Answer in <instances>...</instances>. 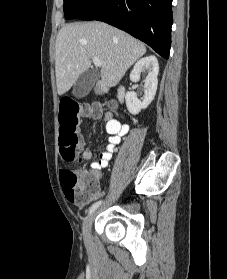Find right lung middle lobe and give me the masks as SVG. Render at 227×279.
<instances>
[{
	"mask_svg": "<svg viewBox=\"0 0 227 279\" xmlns=\"http://www.w3.org/2000/svg\"><path fill=\"white\" fill-rule=\"evenodd\" d=\"M94 0H64V15L66 19L79 18Z\"/></svg>",
	"mask_w": 227,
	"mask_h": 279,
	"instance_id": "1",
	"label": "right lung middle lobe"
}]
</instances>
